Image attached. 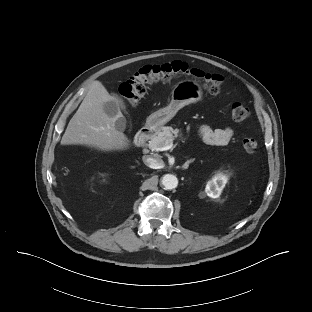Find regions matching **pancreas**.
<instances>
[{
	"mask_svg": "<svg viewBox=\"0 0 312 312\" xmlns=\"http://www.w3.org/2000/svg\"><path fill=\"white\" fill-rule=\"evenodd\" d=\"M179 133L180 130L177 128L174 129L171 126L162 127L157 135L151 138L148 146L152 150H157L158 148H161L166 144L172 143L173 140L180 135Z\"/></svg>",
	"mask_w": 312,
	"mask_h": 312,
	"instance_id": "1",
	"label": "pancreas"
}]
</instances>
